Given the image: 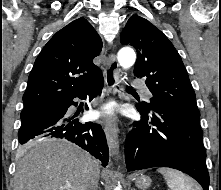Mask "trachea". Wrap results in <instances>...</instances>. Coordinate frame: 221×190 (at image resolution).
Instances as JSON below:
<instances>
[{
  "instance_id": "1",
  "label": "trachea",
  "mask_w": 221,
  "mask_h": 190,
  "mask_svg": "<svg viewBox=\"0 0 221 190\" xmlns=\"http://www.w3.org/2000/svg\"><path fill=\"white\" fill-rule=\"evenodd\" d=\"M127 89L128 90H134L132 87H129V86H127Z\"/></svg>"
}]
</instances>
